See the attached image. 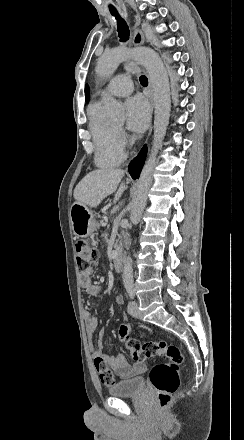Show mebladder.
<instances>
[{"label":"bladder","instance_id":"1","mask_svg":"<svg viewBox=\"0 0 244 440\" xmlns=\"http://www.w3.org/2000/svg\"><path fill=\"white\" fill-rule=\"evenodd\" d=\"M145 389L144 377H133L115 382L109 387V394L120 396L140 395Z\"/></svg>","mask_w":244,"mask_h":440}]
</instances>
